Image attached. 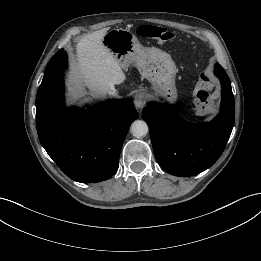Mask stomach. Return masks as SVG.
Listing matches in <instances>:
<instances>
[{
    "instance_id": "1",
    "label": "stomach",
    "mask_w": 261,
    "mask_h": 261,
    "mask_svg": "<svg viewBox=\"0 0 261 261\" xmlns=\"http://www.w3.org/2000/svg\"><path fill=\"white\" fill-rule=\"evenodd\" d=\"M104 47L122 67L134 63L140 74L152 84L154 95L170 103L177 99L175 86L176 65L169 54L142 46L129 30L116 28L108 31L103 39Z\"/></svg>"
}]
</instances>
